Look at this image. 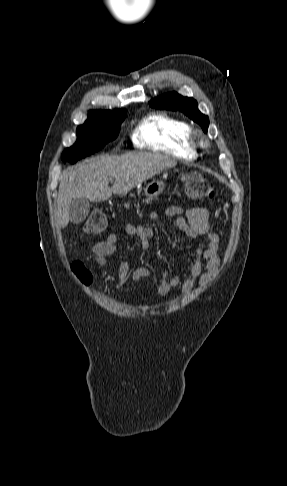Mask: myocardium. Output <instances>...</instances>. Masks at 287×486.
Listing matches in <instances>:
<instances>
[{"label": "myocardium", "mask_w": 287, "mask_h": 486, "mask_svg": "<svg viewBox=\"0 0 287 486\" xmlns=\"http://www.w3.org/2000/svg\"><path fill=\"white\" fill-rule=\"evenodd\" d=\"M190 141L193 147H205L206 140L201 136L198 131H190Z\"/></svg>", "instance_id": "myocardium-1"}]
</instances>
